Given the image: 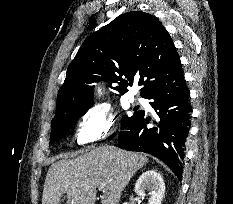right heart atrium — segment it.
<instances>
[{
    "instance_id": "right-heart-atrium-1",
    "label": "right heart atrium",
    "mask_w": 233,
    "mask_h": 204,
    "mask_svg": "<svg viewBox=\"0 0 233 204\" xmlns=\"http://www.w3.org/2000/svg\"><path fill=\"white\" fill-rule=\"evenodd\" d=\"M115 126L116 114L111 107L105 104L92 106L78 122L76 141L84 145L103 140L114 132Z\"/></svg>"
}]
</instances>
